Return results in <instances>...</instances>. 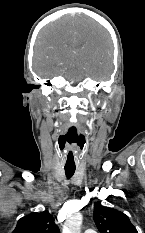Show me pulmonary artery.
<instances>
[{
	"label": "pulmonary artery",
	"instance_id": "1",
	"mask_svg": "<svg viewBox=\"0 0 145 233\" xmlns=\"http://www.w3.org/2000/svg\"><path fill=\"white\" fill-rule=\"evenodd\" d=\"M84 233H97L95 229H87Z\"/></svg>",
	"mask_w": 145,
	"mask_h": 233
}]
</instances>
